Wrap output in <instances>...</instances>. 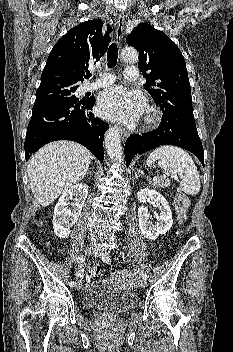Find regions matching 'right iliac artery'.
Instances as JSON below:
<instances>
[{
  "label": "right iliac artery",
  "mask_w": 233,
  "mask_h": 352,
  "mask_svg": "<svg viewBox=\"0 0 233 352\" xmlns=\"http://www.w3.org/2000/svg\"><path fill=\"white\" fill-rule=\"evenodd\" d=\"M76 260H77V262H78L80 265H82V263H84V261H85V257H84L83 255H82V256H78ZM69 285H70L71 287H74V286H75V282H74V281H70Z\"/></svg>",
  "instance_id": "right-iliac-artery-1"
}]
</instances>
